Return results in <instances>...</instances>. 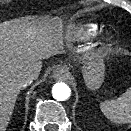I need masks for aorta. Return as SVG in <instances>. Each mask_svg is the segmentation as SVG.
Returning a JSON list of instances; mask_svg holds the SVG:
<instances>
[{"label":"aorta","instance_id":"obj_1","mask_svg":"<svg viewBox=\"0 0 131 131\" xmlns=\"http://www.w3.org/2000/svg\"><path fill=\"white\" fill-rule=\"evenodd\" d=\"M70 95H71V89L67 84L63 82H58L53 85L52 96L55 100L65 101L70 97Z\"/></svg>","mask_w":131,"mask_h":131}]
</instances>
